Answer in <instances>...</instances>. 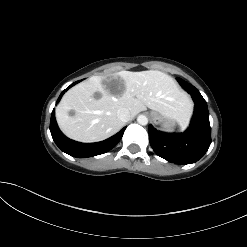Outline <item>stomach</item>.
Wrapping results in <instances>:
<instances>
[{
  "instance_id": "0dacf381",
  "label": "stomach",
  "mask_w": 247,
  "mask_h": 247,
  "mask_svg": "<svg viewBox=\"0 0 247 247\" xmlns=\"http://www.w3.org/2000/svg\"><path fill=\"white\" fill-rule=\"evenodd\" d=\"M151 117L155 124L161 125V127L166 131H172L175 128V121L164 117L160 113L151 112Z\"/></svg>"
}]
</instances>
